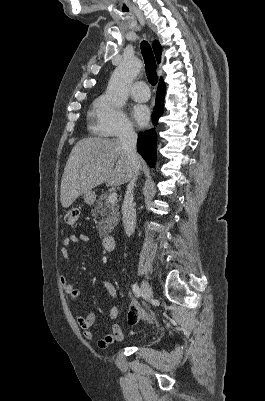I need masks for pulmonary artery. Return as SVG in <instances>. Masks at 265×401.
<instances>
[{"mask_svg":"<svg viewBox=\"0 0 265 401\" xmlns=\"http://www.w3.org/2000/svg\"><path fill=\"white\" fill-rule=\"evenodd\" d=\"M134 84L135 91L131 92V97L142 102L148 101L151 96V94L148 92V81H144V79L141 77H136Z\"/></svg>","mask_w":265,"mask_h":401,"instance_id":"pulmonary-artery-1","label":"pulmonary artery"}]
</instances>
